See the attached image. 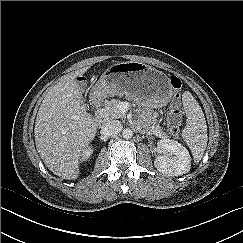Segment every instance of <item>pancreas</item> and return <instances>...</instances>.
<instances>
[{
  "instance_id": "obj_1",
  "label": "pancreas",
  "mask_w": 243,
  "mask_h": 243,
  "mask_svg": "<svg viewBox=\"0 0 243 243\" xmlns=\"http://www.w3.org/2000/svg\"><path fill=\"white\" fill-rule=\"evenodd\" d=\"M121 104L122 102L119 99H111L110 101H107L103 108L104 115L111 119L124 118L126 116V112L120 108ZM150 131L156 136L163 138L167 137L166 133L163 132L158 125L152 126Z\"/></svg>"
}]
</instances>
